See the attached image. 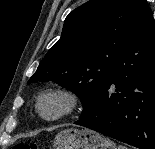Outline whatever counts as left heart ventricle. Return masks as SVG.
<instances>
[{
  "label": "left heart ventricle",
  "mask_w": 155,
  "mask_h": 149,
  "mask_svg": "<svg viewBox=\"0 0 155 149\" xmlns=\"http://www.w3.org/2000/svg\"><path fill=\"white\" fill-rule=\"evenodd\" d=\"M61 108V101L55 98L46 99L42 103V110L48 116L56 115L58 112H60Z\"/></svg>",
  "instance_id": "left-heart-ventricle-1"
}]
</instances>
